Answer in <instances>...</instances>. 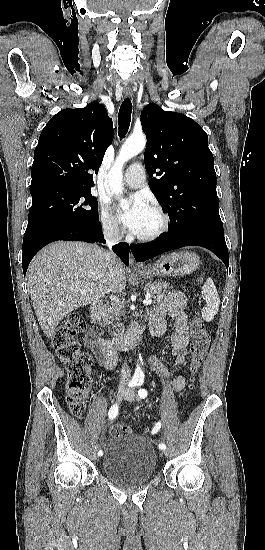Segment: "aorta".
<instances>
[{"label": "aorta", "mask_w": 265, "mask_h": 550, "mask_svg": "<svg viewBox=\"0 0 265 550\" xmlns=\"http://www.w3.org/2000/svg\"><path fill=\"white\" fill-rule=\"evenodd\" d=\"M146 145V137L143 134H132L122 145L114 166L109 175V185L111 191L116 196H121L123 193V174L122 169L124 164L139 154ZM136 374L142 375L143 371L139 365L136 368Z\"/></svg>", "instance_id": "1"}]
</instances>
